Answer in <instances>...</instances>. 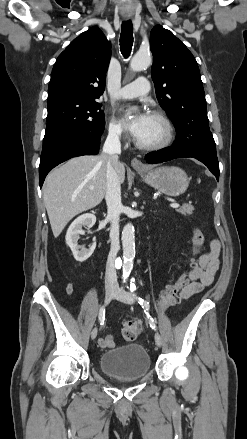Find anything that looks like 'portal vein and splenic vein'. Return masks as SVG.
I'll list each match as a JSON object with an SVG mask.
<instances>
[{
	"label": "portal vein and splenic vein",
	"instance_id": "1",
	"mask_svg": "<svg viewBox=\"0 0 247 439\" xmlns=\"http://www.w3.org/2000/svg\"><path fill=\"white\" fill-rule=\"evenodd\" d=\"M91 189H93V187H91ZM179 206L180 205L177 202H173V203L170 204V207H172V208H178Z\"/></svg>",
	"mask_w": 247,
	"mask_h": 439
}]
</instances>
